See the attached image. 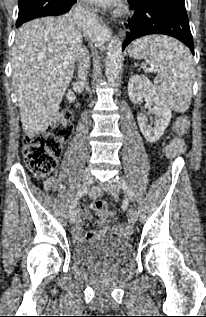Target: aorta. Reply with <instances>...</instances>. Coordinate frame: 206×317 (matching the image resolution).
<instances>
[{"mask_svg":"<svg viewBox=\"0 0 206 317\" xmlns=\"http://www.w3.org/2000/svg\"><path fill=\"white\" fill-rule=\"evenodd\" d=\"M82 27L86 33L90 34H97L99 31V24L90 14L83 16ZM121 62L122 43L120 39L115 36L108 45L106 56V78L109 82L114 83L117 80L121 69Z\"/></svg>","mask_w":206,"mask_h":317,"instance_id":"1","label":"aorta"}]
</instances>
